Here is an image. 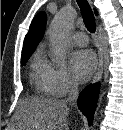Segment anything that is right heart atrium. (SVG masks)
Wrapping results in <instances>:
<instances>
[{"instance_id":"obj_1","label":"right heart atrium","mask_w":123,"mask_h":130,"mask_svg":"<svg viewBox=\"0 0 123 130\" xmlns=\"http://www.w3.org/2000/svg\"><path fill=\"white\" fill-rule=\"evenodd\" d=\"M48 75L54 96L62 97L76 88V83L61 63H48Z\"/></svg>"}]
</instances>
